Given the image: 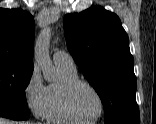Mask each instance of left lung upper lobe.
Listing matches in <instances>:
<instances>
[{
	"instance_id": "1",
	"label": "left lung upper lobe",
	"mask_w": 156,
	"mask_h": 124,
	"mask_svg": "<svg viewBox=\"0 0 156 124\" xmlns=\"http://www.w3.org/2000/svg\"><path fill=\"white\" fill-rule=\"evenodd\" d=\"M67 47L102 100L105 124H140L129 39L119 17L101 6L63 19Z\"/></svg>"
}]
</instances>
